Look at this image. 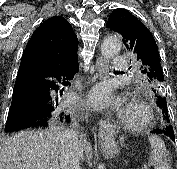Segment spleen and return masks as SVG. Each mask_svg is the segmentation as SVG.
I'll list each match as a JSON object with an SVG mask.
<instances>
[{
	"instance_id": "1",
	"label": "spleen",
	"mask_w": 177,
	"mask_h": 169,
	"mask_svg": "<svg viewBox=\"0 0 177 169\" xmlns=\"http://www.w3.org/2000/svg\"><path fill=\"white\" fill-rule=\"evenodd\" d=\"M148 139L152 149L149 162L154 169H172L164 141L157 135H150Z\"/></svg>"
}]
</instances>
